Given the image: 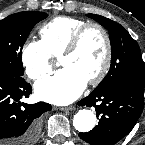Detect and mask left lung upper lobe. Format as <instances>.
I'll return each instance as SVG.
<instances>
[{"instance_id":"5c2ea615","label":"left lung upper lobe","mask_w":145,"mask_h":145,"mask_svg":"<svg viewBox=\"0 0 145 145\" xmlns=\"http://www.w3.org/2000/svg\"><path fill=\"white\" fill-rule=\"evenodd\" d=\"M87 16L108 30L112 50L110 70L93 92H100L121 82L145 86V69L137 42L115 21L96 14Z\"/></svg>"}]
</instances>
